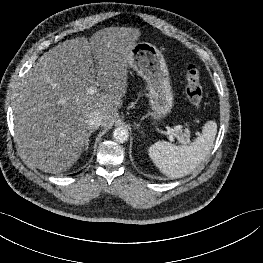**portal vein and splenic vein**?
<instances>
[{"label": "portal vein and splenic vein", "mask_w": 263, "mask_h": 263, "mask_svg": "<svg viewBox=\"0 0 263 263\" xmlns=\"http://www.w3.org/2000/svg\"><path fill=\"white\" fill-rule=\"evenodd\" d=\"M96 92H97V86L96 85H93V86L88 88V93L89 94H94ZM167 134L169 136V140L171 142H174V135H173V133L168 131ZM182 142H185V141L182 140Z\"/></svg>", "instance_id": "18ae733b"}]
</instances>
